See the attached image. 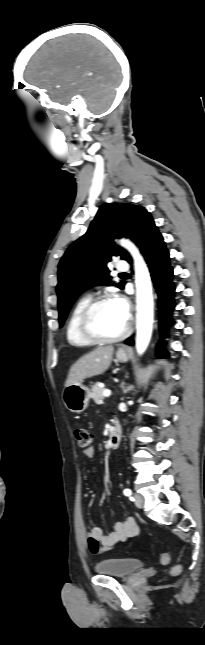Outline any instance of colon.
Returning a JSON list of instances; mask_svg holds the SVG:
<instances>
[{"instance_id":"1","label":"colon","mask_w":205,"mask_h":645,"mask_svg":"<svg viewBox=\"0 0 205 645\" xmlns=\"http://www.w3.org/2000/svg\"><path fill=\"white\" fill-rule=\"evenodd\" d=\"M74 435L76 438V441L78 445L82 448H87L92 440L91 434L88 432V430L84 428H76L74 431ZM160 559L162 563H168L169 562V554L168 553H162L160 555ZM181 572V566L180 565H175L171 569V574L173 575H178Z\"/></svg>"}]
</instances>
